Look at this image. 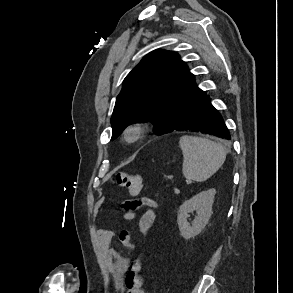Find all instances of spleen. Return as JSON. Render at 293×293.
Returning a JSON list of instances; mask_svg holds the SVG:
<instances>
[{"mask_svg": "<svg viewBox=\"0 0 293 293\" xmlns=\"http://www.w3.org/2000/svg\"><path fill=\"white\" fill-rule=\"evenodd\" d=\"M183 153L182 173L188 180L203 182L223 165L225 147L212 140L184 135L179 140Z\"/></svg>", "mask_w": 293, "mask_h": 293, "instance_id": "obj_1", "label": "spleen"}]
</instances>
